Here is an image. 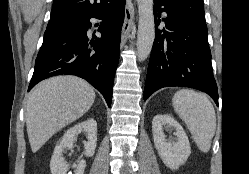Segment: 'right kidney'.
I'll return each instance as SVG.
<instances>
[{"instance_id":"right-kidney-1","label":"right kidney","mask_w":249,"mask_h":174,"mask_svg":"<svg viewBox=\"0 0 249 174\" xmlns=\"http://www.w3.org/2000/svg\"><path fill=\"white\" fill-rule=\"evenodd\" d=\"M82 132H85L88 138V141L84 142L85 156L91 157L94 155L97 143V123L94 119H88L68 129L59 144L56 145L50 161V170L52 174H67L69 165L65 161L62 153L65 149L73 148L76 137ZM85 167V160L82 159L78 161L77 164L73 165V168L76 169L75 174H84Z\"/></svg>"}]
</instances>
